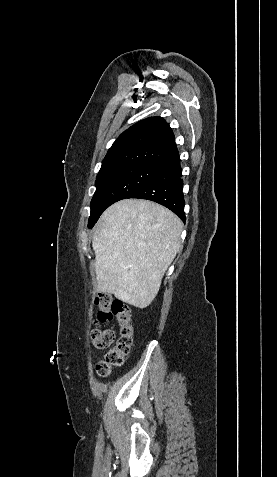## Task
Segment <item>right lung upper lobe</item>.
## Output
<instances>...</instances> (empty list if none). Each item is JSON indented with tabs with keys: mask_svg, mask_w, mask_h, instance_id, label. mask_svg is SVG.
Instances as JSON below:
<instances>
[{
	"mask_svg": "<svg viewBox=\"0 0 277 477\" xmlns=\"http://www.w3.org/2000/svg\"><path fill=\"white\" fill-rule=\"evenodd\" d=\"M178 154L169 125L161 117H150L134 124L116 139L99 173L132 164L160 168Z\"/></svg>",
	"mask_w": 277,
	"mask_h": 477,
	"instance_id": "obj_1",
	"label": "right lung upper lobe"
}]
</instances>
